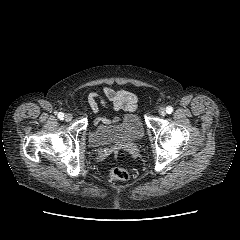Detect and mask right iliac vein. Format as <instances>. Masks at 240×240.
<instances>
[{
    "label": "right iliac vein",
    "mask_w": 240,
    "mask_h": 240,
    "mask_svg": "<svg viewBox=\"0 0 240 240\" xmlns=\"http://www.w3.org/2000/svg\"><path fill=\"white\" fill-rule=\"evenodd\" d=\"M73 118V115L71 113H67L65 115V121L70 122Z\"/></svg>",
    "instance_id": "right-iliac-vein-1"
}]
</instances>
